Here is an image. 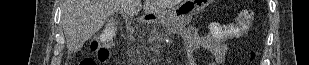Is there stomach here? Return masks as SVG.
Here are the masks:
<instances>
[{"label": "stomach", "instance_id": "1", "mask_svg": "<svg viewBox=\"0 0 309 65\" xmlns=\"http://www.w3.org/2000/svg\"><path fill=\"white\" fill-rule=\"evenodd\" d=\"M209 4V0H183L176 7L150 16V23L182 27L186 19Z\"/></svg>", "mask_w": 309, "mask_h": 65}]
</instances>
